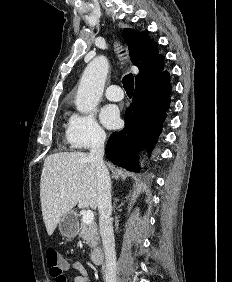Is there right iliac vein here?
Instances as JSON below:
<instances>
[{
	"instance_id": "obj_1",
	"label": "right iliac vein",
	"mask_w": 232,
	"mask_h": 282,
	"mask_svg": "<svg viewBox=\"0 0 232 282\" xmlns=\"http://www.w3.org/2000/svg\"><path fill=\"white\" fill-rule=\"evenodd\" d=\"M107 282H116V281H107Z\"/></svg>"
}]
</instances>
